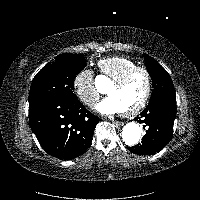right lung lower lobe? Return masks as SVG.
Masks as SVG:
<instances>
[{"mask_svg": "<svg viewBox=\"0 0 200 200\" xmlns=\"http://www.w3.org/2000/svg\"><path fill=\"white\" fill-rule=\"evenodd\" d=\"M99 118L76 98L70 102L40 100L29 103V124L42 148L70 160L83 154L92 142Z\"/></svg>", "mask_w": 200, "mask_h": 200, "instance_id": "1", "label": "right lung lower lobe"}]
</instances>
